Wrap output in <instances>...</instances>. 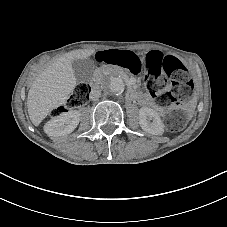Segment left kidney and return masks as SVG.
<instances>
[{"instance_id":"obj_1","label":"left kidney","mask_w":227,"mask_h":227,"mask_svg":"<svg viewBox=\"0 0 227 227\" xmlns=\"http://www.w3.org/2000/svg\"><path fill=\"white\" fill-rule=\"evenodd\" d=\"M139 122L141 127L151 134L158 135L163 131L161 119L153 109L142 107L139 111Z\"/></svg>"}]
</instances>
